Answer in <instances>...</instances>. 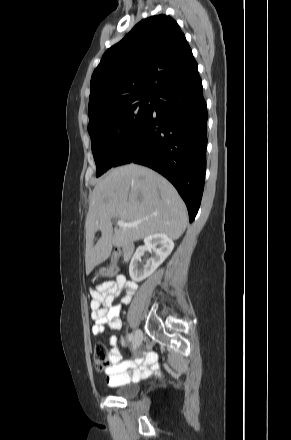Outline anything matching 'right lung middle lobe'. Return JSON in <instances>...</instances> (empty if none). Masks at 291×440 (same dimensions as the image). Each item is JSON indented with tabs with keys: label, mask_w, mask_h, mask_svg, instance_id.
<instances>
[{
	"label": "right lung middle lobe",
	"mask_w": 291,
	"mask_h": 440,
	"mask_svg": "<svg viewBox=\"0 0 291 440\" xmlns=\"http://www.w3.org/2000/svg\"><path fill=\"white\" fill-rule=\"evenodd\" d=\"M153 97L135 96L101 104L88 111V131L97 177L113 166L132 134L146 119L153 107ZM119 126H123L124 132L118 137L115 131Z\"/></svg>",
	"instance_id": "obj_1"
}]
</instances>
